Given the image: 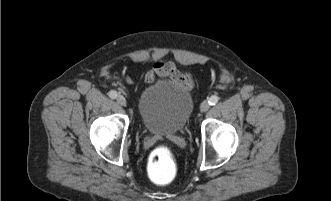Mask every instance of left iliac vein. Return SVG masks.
<instances>
[{"label": "left iliac vein", "instance_id": "obj_1", "mask_svg": "<svg viewBox=\"0 0 331 201\" xmlns=\"http://www.w3.org/2000/svg\"><path fill=\"white\" fill-rule=\"evenodd\" d=\"M209 108H210V104H209V102H207V101H203V102L201 103L200 110H201L202 112H206V111H208Z\"/></svg>", "mask_w": 331, "mask_h": 201}]
</instances>
